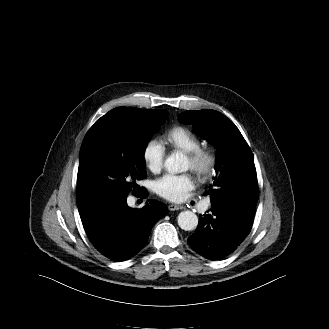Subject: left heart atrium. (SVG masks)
Segmentation results:
<instances>
[{
	"instance_id": "39dd6f15",
	"label": "left heart atrium",
	"mask_w": 329,
	"mask_h": 329,
	"mask_svg": "<svg viewBox=\"0 0 329 329\" xmlns=\"http://www.w3.org/2000/svg\"><path fill=\"white\" fill-rule=\"evenodd\" d=\"M195 188L193 177L186 173L181 175L165 174L154 184L156 193L172 202L185 200L188 193Z\"/></svg>"
}]
</instances>
